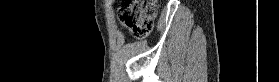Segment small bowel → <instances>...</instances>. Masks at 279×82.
Returning a JSON list of instances; mask_svg holds the SVG:
<instances>
[{
	"label": "small bowel",
	"instance_id": "c3829d8e",
	"mask_svg": "<svg viewBox=\"0 0 279 82\" xmlns=\"http://www.w3.org/2000/svg\"><path fill=\"white\" fill-rule=\"evenodd\" d=\"M112 4H113V5H115V2H114V1H112Z\"/></svg>",
	"mask_w": 279,
	"mask_h": 82
}]
</instances>
